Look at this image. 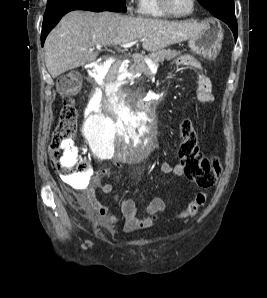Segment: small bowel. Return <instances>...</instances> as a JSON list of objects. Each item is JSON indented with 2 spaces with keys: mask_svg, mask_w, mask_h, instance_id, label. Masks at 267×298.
<instances>
[{
  "mask_svg": "<svg viewBox=\"0 0 267 298\" xmlns=\"http://www.w3.org/2000/svg\"><path fill=\"white\" fill-rule=\"evenodd\" d=\"M175 64L179 66H186L192 69L195 73L196 99L201 103H212L214 95L212 92L211 80L204 74L201 64L190 55H182L175 60ZM160 171L164 174L174 176H184L185 172L181 164L171 165L162 163ZM106 172L99 173V178L102 179ZM101 191L109 194L112 191V185L108 182L101 183ZM82 207L87 211L89 217L97 224L104 227H112L118 223L119 218L110 213L108 208L103 206L96 198L95 190L92 187L86 189L83 195H75ZM169 199L161 197L153 198L146 209V215L139 217L137 215V207L132 199H124L121 202V212L124 217V228L127 231H134L140 229H147L152 227L158 220L160 214L164 211L166 203Z\"/></svg>",
  "mask_w": 267,
  "mask_h": 298,
  "instance_id": "small-bowel-1",
  "label": "small bowel"
}]
</instances>
